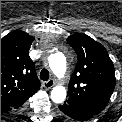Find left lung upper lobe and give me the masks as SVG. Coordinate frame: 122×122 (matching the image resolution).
Here are the masks:
<instances>
[{"instance_id":"5c2ea615","label":"left lung upper lobe","mask_w":122,"mask_h":122,"mask_svg":"<svg viewBox=\"0 0 122 122\" xmlns=\"http://www.w3.org/2000/svg\"><path fill=\"white\" fill-rule=\"evenodd\" d=\"M67 42L75 50L78 62L65 103L97 115L106 107L115 88L113 63L103 45L85 34L71 35Z\"/></svg>"}]
</instances>
